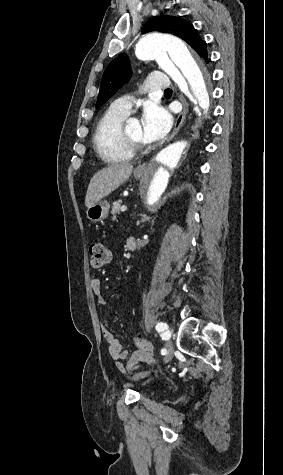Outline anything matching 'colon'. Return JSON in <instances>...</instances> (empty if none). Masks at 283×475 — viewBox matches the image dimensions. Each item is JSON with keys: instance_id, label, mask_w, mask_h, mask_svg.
I'll list each match as a JSON object with an SVG mask.
<instances>
[{"instance_id": "colon-1", "label": "colon", "mask_w": 283, "mask_h": 475, "mask_svg": "<svg viewBox=\"0 0 283 475\" xmlns=\"http://www.w3.org/2000/svg\"><path fill=\"white\" fill-rule=\"evenodd\" d=\"M109 252L100 242H95L91 245V265L94 268L102 267L108 262ZM133 341L136 346L133 354L130 356L132 363L154 364L156 362V353L151 348L150 343L138 334L133 335Z\"/></svg>"}]
</instances>
